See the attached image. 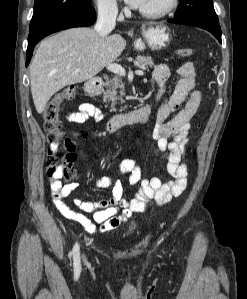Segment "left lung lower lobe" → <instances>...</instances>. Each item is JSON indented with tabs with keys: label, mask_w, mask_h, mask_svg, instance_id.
Segmentation results:
<instances>
[{
	"label": "left lung lower lobe",
	"mask_w": 247,
	"mask_h": 299,
	"mask_svg": "<svg viewBox=\"0 0 247 299\" xmlns=\"http://www.w3.org/2000/svg\"><path fill=\"white\" fill-rule=\"evenodd\" d=\"M168 22L196 26V27L205 29V30L211 32L218 39V41L220 43H222L221 28H220L218 20H213L209 17L203 16L200 14H191V15H186V16L180 17V18L169 19Z\"/></svg>",
	"instance_id": "obj_1"
}]
</instances>
